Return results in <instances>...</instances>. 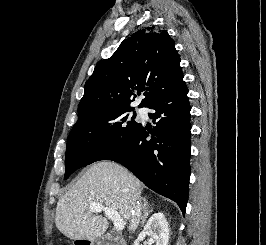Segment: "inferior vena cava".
Masks as SVG:
<instances>
[{"instance_id": "1", "label": "inferior vena cava", "mask_w": 266, "mask_h": 245, "mask_svg": "<svg viewBox=\"0 0 266 245\" xmlns=\"http://www.w3.org/2000/svg\"><path fill=\"white\" fill-rule=\"evenodd\" d=\"M142 197H140L139 193L137 195H134V199H132V207L130 211V225L128 227L130 233H134L136 231L140 217H141V211H142Z\"/></svg>"}]
</instances>
